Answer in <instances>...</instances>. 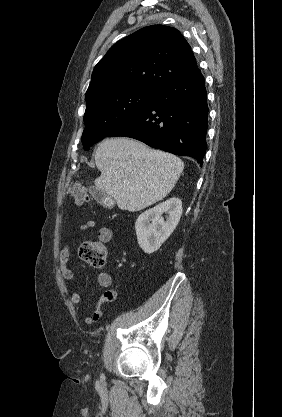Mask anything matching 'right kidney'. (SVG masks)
I'll return each instance as SVG.
<instances>
[{
	"mask_svg": "<svg viewBox=\"0 0 282 417\" xmlns=\"http://www.w3.org/2000/svg\"><path fill=\"white\" fill-rule=\"evenodd\" d=\"M168 213L166 221L161 215ZM182 215V200L172 196L139 215L135 223L138 245L144 253H155L176 229Z\"/></svg>",
	"mask_w": 282,
	"mask_h": 417,
	"instance_id": "ca27d5eb",
	"label": "right kidney"
}]
</instances>
